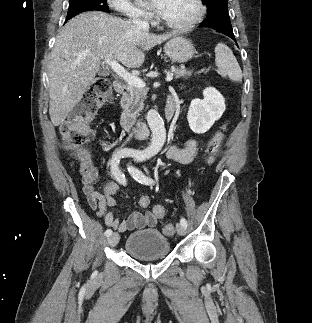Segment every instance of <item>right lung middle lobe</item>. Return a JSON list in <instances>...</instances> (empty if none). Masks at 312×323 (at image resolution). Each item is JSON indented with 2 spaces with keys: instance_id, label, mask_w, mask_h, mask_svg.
Here are the masks:
<instances>
[{
  "instance_id": "obj_1",
  "label": "right lung middle lobe",
  "mask_w": 312,
  "mask_h": 323,
  "mask_svg": "<svg viewBox=\"0 0 312 323\" xmlns=\"http://www.w3.org/2000/svg\"><path fill=\"white\" fill-rule=\"evenodd\" d=\"M107 0H70L66 19H71L75 15L91 10L109 12Z\"/></svg>"
}]
</instances>
